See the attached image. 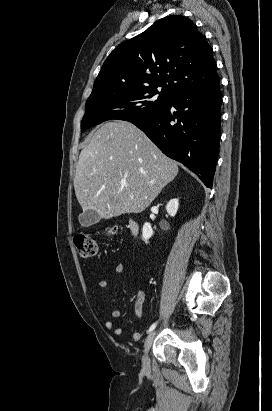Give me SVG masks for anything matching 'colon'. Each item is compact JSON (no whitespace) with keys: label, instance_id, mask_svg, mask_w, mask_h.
Listing matches in <instances>:
<instances>
[{"label":"colon","instance_id":"5ec220e1","mask_svg":"<svg viewBox=\"0 0 272 411\" xmlns=\"http://www.w3.org/2000/svg\"><path fill=\"white\" fill-rule=\"evenodd\" d=\"M106 232L108 235H112L115 233V228H108ZM74 244L81 257L89 258L97 254V243L91 235H76L74 237Z\"/></svg>","mask_w":272,"mask_h":411}]
</instances>
